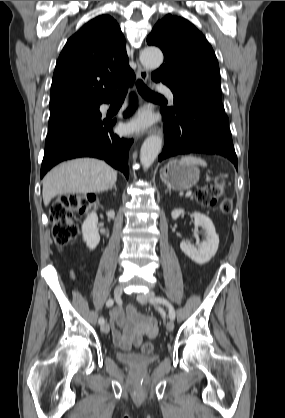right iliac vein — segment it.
<instances>
[{"label":"right iliac vein","instance_id":"63e3f726","mask_svg":"<svg viewBox=\"0 0 285 418\" xmlns=\"http://www.w3.org/2000/svg\"><path fill=\"white\" fill-rule=\"evenodd\" d=\"M122 293H123V287H122L121 285H117V286L114 288V296H115L116 298H120V297H121V295H122ZM109 330H110V327H109V324H108V323H104V324L101 326V331H102L103 333L107 334V333L109 332Z\"/></svg>","mask_w":285,"mask_h":418}]
</instances>
